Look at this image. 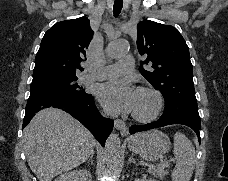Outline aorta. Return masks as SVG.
<instances>
[{"label":"aorta","mask_w":228,"mask_h":181,"mask_svg":"<svg viewBox=\"0 0 228 181\" xmlns=\"http://www.w3.org/2000/svg\"><path fill=\"white\" fill-rule=\"evenodd\" d=\"M128 51V43L125 40H115L108 45L107 54L111 58H119L125 55ZM121 140L118 134L112 133L105 145V156L107 166L114 168L120 156Z\"/></svg>","instance_id":"obj_1"}]
</instances>
